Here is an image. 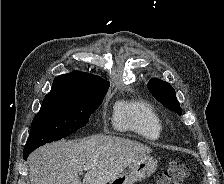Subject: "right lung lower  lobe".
I'll list each match as a JSON object with an SVG mask.
<instances>
[{"label":"right lung lower lobe","mask_w":224,"mask_h":184,"mask_svg":"<svg viewBox=\"0 0 224 184\" xmlns=\"http://www.w3.org/2000/svg\"><path fill=\"white\" fill-rule=\"evenodd\" d=\"M35 149H24L23 158L26 160L28 155Z\"/></svg>","instance_id":"1"}]
</instances>
